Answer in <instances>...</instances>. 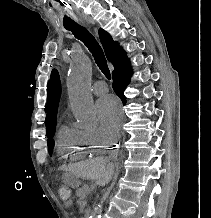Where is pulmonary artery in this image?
I'll return each instance as SVG.
<instances>
[{
	"label": "pulmonary artery",
	"mask_w": 211,
	"mask_h": 218,
	"mask_svg": "<svg viewBox=\"0 0 211 218\" xmlns=\"http://www.w3.org/2000/svg\"><path fill=\"white\" fill-rule=\"evenodd\" d=\"M108 91V85L104 81H97L93 85V92L98 96L105 95L108 93Z\"/></svg>",
	"instance_id": "e3ab8cb5"
}]
</instances>
